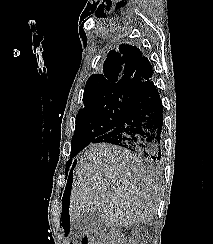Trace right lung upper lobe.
I'll return each instance as SVG.
<instances>
[{
	"mask_svg": "<svg viewBox=\"0 0 213 244\" xmlns=\"http://www.w3.org/2000/svg\"><path fill=\"white\" fill-rule=\"evenodd\" d=\"M152 66L142 52L132 45L122 44L119 52L108 53L102 74L89 77L83 103L114 94L136 96L151 80Z\"/></svg>",
	"mask_w": 213,
	"mask_h": 244,
	"instance_id": "obj_1",
	"label": "right lung upper lobe"
}]
</instances>
